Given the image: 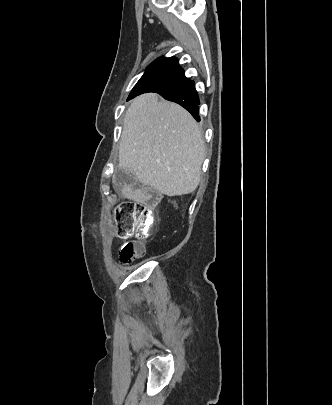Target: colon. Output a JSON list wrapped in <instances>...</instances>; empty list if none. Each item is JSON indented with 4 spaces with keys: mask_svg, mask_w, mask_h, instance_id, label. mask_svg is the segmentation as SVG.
Here are the masks:
<instances>
[{
    "mask_svg": "<svg viewBox=\"0 0 332 405\" xmlns=\"http://www.w3.org/2000/svg\"><path fill=\"white\" fill-rule=\"evenodd\" d=\"M159 201L157 192L149 187L141 189L135 200H124L114 209L118 233L122 237H144L155 226L154 207ZM145 255V245L139 241L125 242L119 251V260L123 264L131 263Z\"/></svg>",
    "mask_w": 332,
    "mask_h": 405,
    "instance_id": "1",
    "label": "colon"
}]
</instances>
